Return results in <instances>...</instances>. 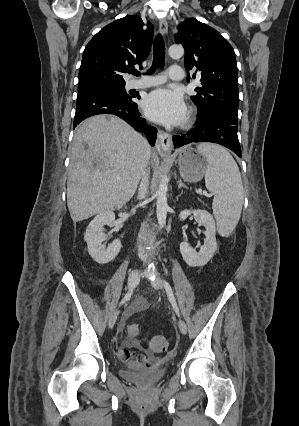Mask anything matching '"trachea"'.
<instances>
[{"instance_id":"obj_1","label":"trachea","mask_w":299,"mask_h":426,"mask_svg":"<svg viewBox=\"0 0 299 426\" xmlns=\"http://www.w3.org/2000/svg\"><path fill=\"white\" fill-rule=\"evenodd\" d=\"M164 59H165V43H164L162 35L157 34L154 40V47H153V65L148 72L150 73L155 66L161 65L164 62ZM132 74L136 76L139 75L137 71H133Z\"/></svg>"}]
</instances>
